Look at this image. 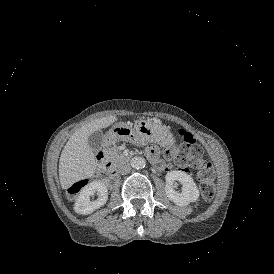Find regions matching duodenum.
<instances>
[{
	"mask_svg": "<svg viewBox=\"0 0 274 274\" xmlns=\"http://www.w3.org/2000/svg\"><path fill=\"white\" fill-rule=\"evenodd\" d=\"M97 160L101 169L105 171L109 176L114 177L116 175V169L114 165L103 152H99L97 154ZM152 162L158 170L163 171L167 169V167L158 159H153Z\"/></svg>",
	"mask_w": 274,
	"mask_h": 274,
	"instance_id": "obj_1",
	"label": "duodenum"
}]
</instances>
